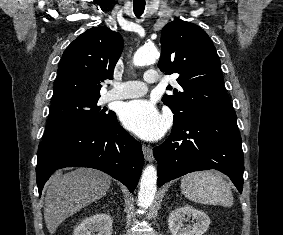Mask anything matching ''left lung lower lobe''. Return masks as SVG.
I'll list each match as a JSON object with an SVG mask.
<instances>
[{
    "label": "left lung lower lobe",
    "mask_w": 283,
    "mask_h": 235,
    "mask_svg": "<svg viewBox=\"0 0 283 235\" xmlns=\"http://www.w3.org/2000/svg\"><path fill=\"white\" fill-rule=\"evenodd\" d=\"M158 185L193 171L216 169L243 190L244 156L235 112L192 117L173 125L154 148Z\"/></svg>",
    "instance_id": "1"
}]
</instances>
